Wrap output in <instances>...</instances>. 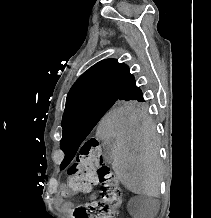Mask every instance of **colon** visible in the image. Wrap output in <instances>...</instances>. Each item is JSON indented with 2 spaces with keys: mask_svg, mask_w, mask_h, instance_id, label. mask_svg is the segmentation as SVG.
I'll return each instance as SVG.
<instances>
[{
  "mask_svg": "<svg viewBox=\"0 0 211 218\" xmlns=\"http://www.w3.org/2000/svg\"><path fill=\"white\" fill-rule=\"evenodd\" d=\"M98 183L102 185L99 197L75 207L74 218H113L123 201L119 181L105 162L98 140L91 137L83 142L75 162L67 171V192L88 193Z\"/></svg>",
  "mask_w": 211,
  "mask_h": 218,
  "instance_id": "colon-1",
  "label": "colon"
}]
</instances>
